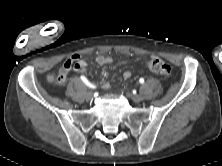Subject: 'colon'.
Segmentation results:
<instances>
[{
  "label": "colon",
  "instance_id": "1",
  "mask_svg": "<svg viewBox=\"0 0 222 166\" xmlns=\"http://www.w3.org/2000/svg\"><path fill=\"white\" fill-rule=\"evenodd\" d=\"M144 66L150 72L158 74L163 77H169L171 75V66L157 57H151L145 61ZM66 79V74L60 72L56 75H50L48 80L53 83H62Z\"/></svg>",
  "mask_w": 222,
  "mask_h": 166
}]
</instances>
